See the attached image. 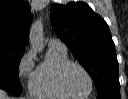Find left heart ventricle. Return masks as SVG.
I'll return each instance as SVG.
<instances>
[{
	"mask_svg": "<svg viewBox=\"0 0 128 99\" xmlns=\"http://www.w3.org/2000/svg\"><path fill=\"white\" fill-rule=\"evenodd\" d=\"M64 85L74 95H84L89 89L85 73L77 66H71L64 75Z\"/></svg>",
	"mask_w": 128,
	"mask_h": 99,
	"instance_id": "obj_1",
	"label": "left heart ventricle"
}]
</instances>
